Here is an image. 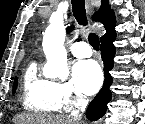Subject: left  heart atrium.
Segmentation results:
<instances>
[{
    "label": "left heart atrium",
    "mask_w": 145,
    "mask_h": 124,
    "mask_svg": "<svg viewBox=\"0 0 145 124\" xmlns=\"http://www.w3.org/2000/svg\"><path fill=\"white\" fill-rule=\"evenodd\" d=\"M73 73L80 90L88 95L94 94L103 81L100 66L94 60L76 63Z\"/></svg>",
    "instance_id": "39dd6f15"
}]
</instances>
